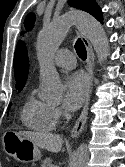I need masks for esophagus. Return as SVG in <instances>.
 Wrapping results in <instances>:
<instances>
[{
  "instance_id": "34e87169",
  "label": "esophagus",
  "mask_w": 125,
  "mask_h": 167,
  "mask_svg": "<svg viewBox=\"0 0 125 167\" xmlns=\"http://www.w3.org/2000/svg\"><path fill=\"white\" fill-rule=\"evenodd\" d=\"M81 40L83 41L85 48L87 50V61H86V70L89 78V87H88V92L86 96V102L84 104V107L82 109V112L77 119L72 132L71 136L72 137H77L80 135V133L83 131L87 116H88V106L90 103L91 99V94H92V89H93V69H94V52L93 48L89 42V40L81 33H79Z\"/></svg>"
}]
</instances>
